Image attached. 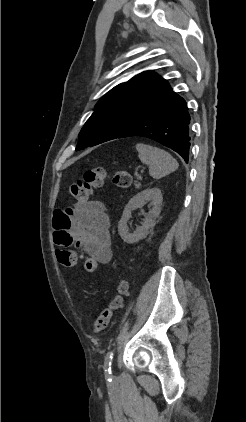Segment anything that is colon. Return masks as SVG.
Wrapping results in <instances>:
<instances>
[{"label":"colon","instance_id":"1","mask_svg":"<svg viewBox=\"0 0 246 422\" xmlns=\"http://www.w3.org/2000/svg\"><path fill=\"white\" fill-rule=\"evenodd\" d=\"M107 176V171L103 167L90 168L85 171L82 181H76L71 185L70 193L74 198L85 201L95 190L103 186ZM113 182L120 188H128L132 178L126 170H118L114 175ZM57 258L63 266L72 267L78 263L79 255L73 250L63 249L57 251ZM83 266L86 272L92 273L96 271L98 263L95 259L87 257L84 259ZM126 289V282L121 281L118 284L116 295L93 322L94 332H101L107 327L115 311L120 308Z\"/></svg>","mask_w":246,"mask_h":422}]
</instances>
